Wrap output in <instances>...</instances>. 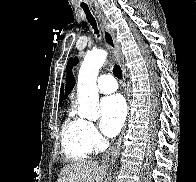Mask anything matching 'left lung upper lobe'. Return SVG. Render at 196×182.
Returning a JSON list of instances; mask_svg holds the SVG:
<instances>
[{
    "instance_id": "left-lung-upper-lobe-1",
    "label": "left lung upper lobe",
    "mask_w": 196,
    "mask_h": 182,
    "mask_svg": "<svg viewBox=\"0 0 196 182\" xmlns=\"http://www.w3.org/2000/svg\"><path fill=\"white\" fill-rule=\"evenodd\" d=\"M78 62V58L75 57V59L73 60V58H70L67 64V85H66V93L65 95L67 96L71 90L73 89L74 85H75V81H74V77L72 75V66L73 64H76Z\"/></svg>"
}]
</instances>
